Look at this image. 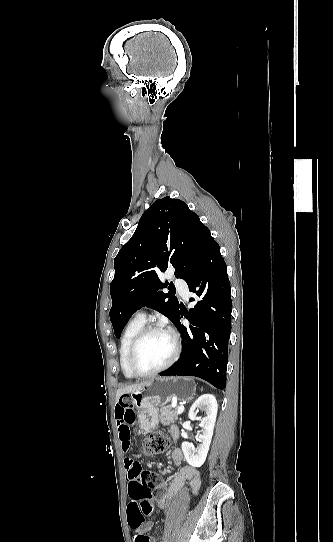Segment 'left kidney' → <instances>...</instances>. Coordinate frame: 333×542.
<instances>
[{
	"instance_id": "obj_1",
	"label": "left kidney",
	"mask_w": 333,
	"mask_h": 542,
	"mask_svg": "<svg viewBox=\"0 0 333 542\" xmlns=\"http://www.w3.org/2000/svg\"><path fill=\"white\" fill-rule=\"evenodd\" d=\"M198 408H205L206 410L205 418L200 420L202 434L198 438L201 444H199L198 448H195L196 452H194V448H192L189 442H183L181 446L186 462H188L189 466H193V468H201L209 452L218 410L215 396L213 394L199 396L198 400L192 404L189 410V420H199L195 414V410H198Z\"/></svg>"
}]
</instances>
